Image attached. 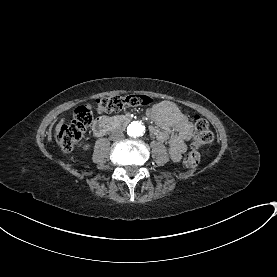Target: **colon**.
Returning a JSON list of instances; mask_svg holds the SVG:
<instances>
[{"instance_id":"1","label":"colon","mask_w":277,"mask_h":277,"mask_svg":"<svg viewBox=\"0 0 277 277\" xmlns=\"http://www.w3.org/2000/svg\"><path fill=\"white\" fill-rule=\"evenodd\" d=\"M153 101L152 97L139 94L104 96L95 99L91 105L78 108L73 118L60 126L57 133L58 140L64 149L73 148L90 125L94 114L116 113L126 106H149L153 104ZM193 127L192 148L198 149L214 140V134L204 118H194ZM200 160L201 156L198 152H190L184 157V165L188 168H195Z\"/></svg>"}]
</instances>
